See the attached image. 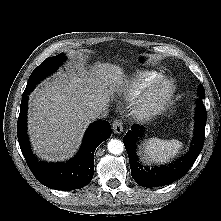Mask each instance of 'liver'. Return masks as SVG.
Returning <instances> with one entry per match:
<instances>
[{"mask_svg": "<svg viewBox=\"0 0 221 221\" xmlns=\"http://www.w3.org/2000/svg\"><path fill=\"white\" fill-rule=\"evenodd\" d=\"M123 71L98 64L92 72L79 68L44 80L29 96L28 131L35 153L47 161H64L81 145L94 107L108 106Z\"/></svg>", "mask_w": 221, "mask_h": 221, "instance_id": "obj_1", "label": "liver"}]
</instances>
